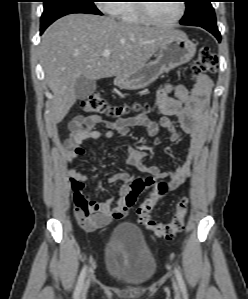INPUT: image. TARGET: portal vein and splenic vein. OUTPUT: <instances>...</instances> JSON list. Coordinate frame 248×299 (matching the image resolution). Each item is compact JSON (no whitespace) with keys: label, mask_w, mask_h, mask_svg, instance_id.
I'll return each instance as SVG.
<instances>
[{"label":"portal vein and splenic vein","mask_w":248,"mask_h":299,"mask_svg":"<svg viewBox=\"0 0 248 299\" xmlns=\"http://www.w3.org/2000/svg\"><path fill=\"white\" fill-rule=\"evenodd\" d=\"M110 54H111V51L109 49H106V50L103 51L102 56L103 57H108V56H110Z\"/></svg>","instance_id":"obj_1"}]
</instances>
